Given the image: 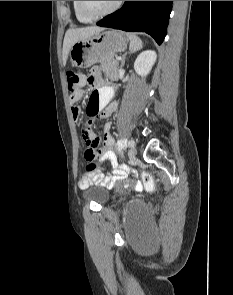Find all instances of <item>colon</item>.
<instances>
[{"mask_svg": "<svg viewBox=\"0 0 233 295\" xmlns=\"http://www.w3.org/2000/svg\"><path fill=\"white\" fill-rule=\"evenodd\" d=\"M67 83L68 89L71 93V97H74L84 91V86L86 85L87 80L78 72L69 71L67 72ZM82 131L83 138L87 147L84 154L87 163V171L92 172L98 167L99 159L102 155L100 141L96 135L90 132L86 125L83 127ZM142 179L145 187L148 190H153L155 188V181L151 173L144 171L142 173Z\"/></svg>", "mask_w": 233, "mask_h": 295, "instance_id": "1", "label": "colon"}]
</instances>
